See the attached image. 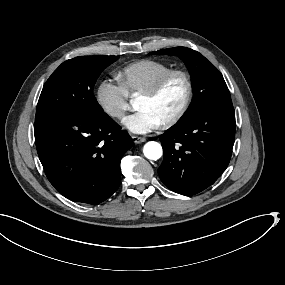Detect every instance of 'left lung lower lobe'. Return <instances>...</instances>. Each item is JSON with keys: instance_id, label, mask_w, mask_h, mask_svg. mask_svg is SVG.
I'll use <instances>...</instances> for the list:
<instances>
[{"instance_id": "1", "label": "left lung lower lobe", "mask_w": 285, "mask_h": 285, "mask_svg": "<svg viewBox=\"0 0 285 285\" xmlns=\"http://www.w3.org/2000/svg\"><path fill=\"white\" fill-rule=\"evenodd\" d=\"M235 127L233 108H208L160 135L164 160L158 173L164 185L183 195L211 186L230 162Z\"/></svg>"}]
</instances>
